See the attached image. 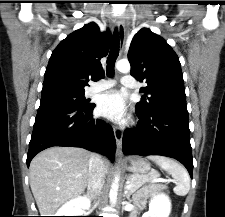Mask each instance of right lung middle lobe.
<instances>
[{
    "instance_id": "1",
    "label": "right lung middle lobe",
    "mask_w": 225,
    "mask_h": 217,
    "mask_svg": "<svg viewBox=\"0 0 225 217\" xmlns=\"http://www.w3.org/2000/svg\"><path fill=\"white\" fill-rule=\"evenodd\" d=\"M84 92H53L41 95L40 105H63L75 108H88L92 104L84 101Z\"/></svg>"
}]
</instances>
